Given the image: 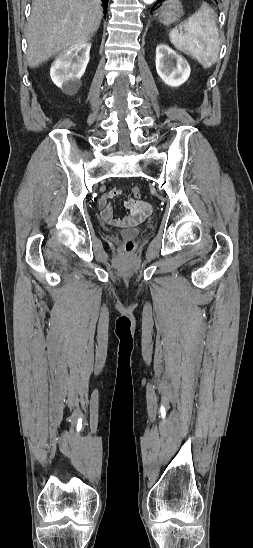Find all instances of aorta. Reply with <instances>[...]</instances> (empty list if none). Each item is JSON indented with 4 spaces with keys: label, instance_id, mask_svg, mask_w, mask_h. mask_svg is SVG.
I'll return each instance as SVG.
<instances>
[{
    "label": "aorta",
    "instance_id": "obj_1",
    "mask_svg": "<svg viewBox=\"0 0 253 548\" xmlns=\"http://www.w3.org/2000/svg\"><path fill=\"white\" fill-rule=\"evenodd\" d=\"M157 0H143V2L145 4H153L154 2H156Z\"/></svg>",
    "mask_w": 253,
    "mask_h": 548
}]
</instances>
